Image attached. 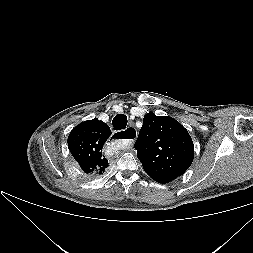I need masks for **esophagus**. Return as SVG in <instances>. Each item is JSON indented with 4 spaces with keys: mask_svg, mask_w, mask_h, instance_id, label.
<instances>
[{
    "mask_svg": "<svg viewBox=\"0 0 253 253\" xmlns=\"http://www.w3.org/2000/svg\"><path fill=\"white\" fill-rule=\"evenodd\" d=\"M137 137V131L134 127L130 126L125 130L118 131L112 134L113 140H118L126 146H130Z\"/></svg>",
    "mask_w": 253,
    "mask_h": 253,
    "instance_id": "34e87169",
    "label": "esophagus"
}]
</instances>
